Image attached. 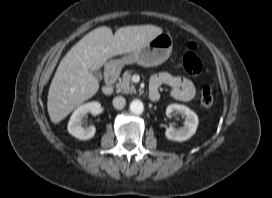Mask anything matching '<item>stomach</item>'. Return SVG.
<instances>
[{
  "label": "stomach",
  "mask_w": 272,
  "mask_h": 198,
  "mask_svg": "<svg viewBox=\"0 0 272 198\" xmlns=\"http://www.w3.org/2000/svg\"><path fill=\"white\" fill-rule=\"evenodd\" d=\"M173 40L167 34H160L146 46L124 55L120 59H113L107 63L108 67L121 68L125 65L138 64L143 67H153L165 62L172 51Z\"/></svg>",
  "instance_id": "stomach-1"
}]
</instances>
